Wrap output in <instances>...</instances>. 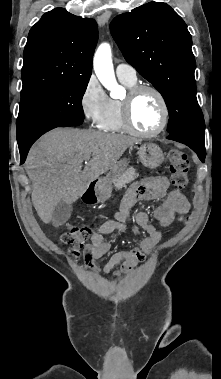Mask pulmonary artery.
<instances>
[{
    "instance_id": "1",
    "label": "pulmonary artery",
    "mask_w": 221,
    "mask_h": 379,
    "mask_svg": "<svg viewBox=\"0 0 221 379\" xmlns=\"http://www.w3.org/2000/svg\"><path fill=\"white\" fill-rule=\"evenodd\" d=\"M116 75L119 79L128 82H136V70L129 64L121 63L116 67Z\"/></svg>"
}]
</instances>
